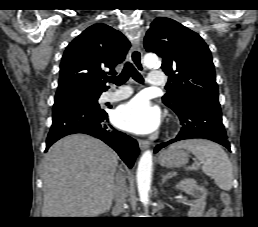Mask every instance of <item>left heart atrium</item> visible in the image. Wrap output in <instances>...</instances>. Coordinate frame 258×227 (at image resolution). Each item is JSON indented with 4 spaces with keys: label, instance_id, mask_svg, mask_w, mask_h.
Wrapping results in <instances>:
<instances>
[{
    "label": "left heart atrium",
    "instance_id": "39dd6f15",
    "mask_svg": "<svg viewBox=\"0 0 258 227\" xmlns=\"http://www.w3.org/2000/svg\"><path fill=\"white\" fill-rule=\"evenodd\" d=\"M115 124L127 131L147 134L160 122V111L144 97H136L122 104L114 113Z\"/></svg>",
    "mask_w": 258,
    "mask_h": 227
}]
</instances>
